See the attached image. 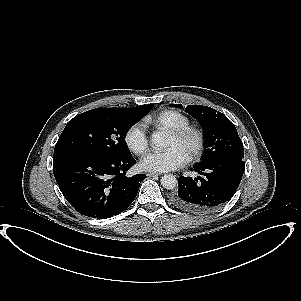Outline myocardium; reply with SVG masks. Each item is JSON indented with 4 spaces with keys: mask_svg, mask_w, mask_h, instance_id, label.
Listing matches in <instances>:
<instances>
[{
    "mask_svg": "<svg viewBox=\"0 0 301 301\" xmlns=\"http://www.w3.org/2000/svg\"><path fill=\"white\" fill-rule=\"evenodd\" d=\"M167 136L176 141H187L190 143L189 147L183 154L184 158L187 160H190L197 156L203 147V135L198 129L194 127L172 130L167 133Z\"/></svg>",
    "mask_w": 301,
    "mask_h": 301,
    "instance_id": "obj_1",
    "label": "myocardium"
}]
</instances>
